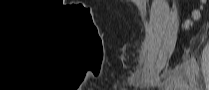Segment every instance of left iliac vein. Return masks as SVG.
Listing matches in <instances>:
<instances>
[{"label": "left iliac vein", "instance_id": "1", "mask_svg": "<svg viewBox=\"0 0 209 90\" xmlns=\"http://www.w3.org/2000/svg\"><path fill=\"white\" fill-rule=\"evenodd\" d=\"M189 81H190V85H191V86H196V85H195V77H194L193 74H190V75H189Z\"/></svg>", "mask_w": 209, "mask_h": 90}]
</instances>
